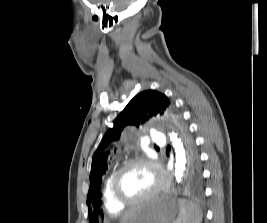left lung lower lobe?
<instances>
[{
    "label": "left lung lower lobe",
    "mask_w": 267,
    "mask_h": 223,
    "mask_svg": "<svg viewBox=\"0 0 267 223\" xmlns=\"http://www.w3.org/2000/svg\"><path fill=\"white\" fill-rule=\"evenodd\" d=\"M185 176H189L191 180L199 182L201 176H204V171H185ZM189 189H197V184H189Z\"/></svg>",
    "instance_id": "0a47b994"
}]
</instances>
